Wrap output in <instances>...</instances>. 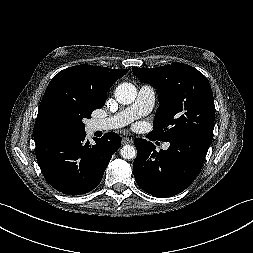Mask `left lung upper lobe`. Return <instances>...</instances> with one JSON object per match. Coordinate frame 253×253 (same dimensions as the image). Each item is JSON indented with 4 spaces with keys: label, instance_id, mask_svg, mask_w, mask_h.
<instances>
[{
    "label": "left lung upper lobe",
    "instance_id": "left-lung-upper-lobe-1",
    "mask_svg": "<svg viewBox=\"0 0 253 253\" xmlns=\"http://www.w3.org/2000/svg\"><path fill=\"white\" fill-rule=\"evenodd\" d=\"M132 71L158 93L160 106L149 134L152 138L163 142L193 135L213 138L214 98L201 72L183 63L152 69L135 67Z\"/></svg>",
    "mask_w": 253,
    "mask_h": 253
}]
</instances>
